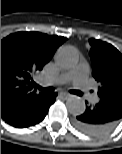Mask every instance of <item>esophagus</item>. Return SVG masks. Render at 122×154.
Returning <instances> with one entry per match:
<instances>
[{"label": "esophagus", "instance_id": "34e87169", "mask_svg": "<svg viewBox=\"0 0 122 154\" xmlns=\"http://www.w3.org/2000/svg\"><path fill=\"white\" fill-rule=\"evenodd\" d=\"M60 96L63 97L64 99L69 98L71 95L67 92H60Z\"/></svg>", "mask_w": 122, "mask_h": 154}]
</instances>
